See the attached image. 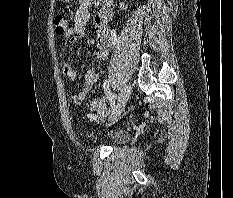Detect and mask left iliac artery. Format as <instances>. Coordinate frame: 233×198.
Segmentation results:
<instances>
[{"mask_svg":"<svg viewBox=\"0 0 233 198\" xmlns=\"http://www.w3.org/2000/svg\"><path fill=\"white\" fill-rule=\"evenodd\" d=\"M103 87H104V90L107 94V97L110 101V106H111V109L114 110L115 109V101H114V96L110 90V87H109V81L108 80H105L104 84H103Z\"/></svg>","mask_w":233,"mask_h":198,"instance_id":"44dca946","label":"left iliac artery"}]
</instances>
